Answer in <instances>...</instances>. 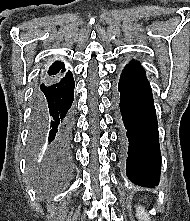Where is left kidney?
I'll return each mask as SVG.
<instances>
[{
    "label": "left kidney",
    "mask_w": 190,
    "mask_h": 221,
    "mask_svg": "<svg viewBox=\"0 0 190 221\" xmlns=\"http://www.w3.org/2000/svg\"><path fill=\"white\" fill-rule=\"evenodd\" d=\"M137 217L141 221H150V217L142 206L137 208Z\"/></svg>",
    "instance_id": "obj_1"
}]
</instances>
